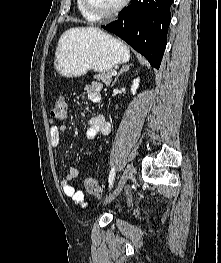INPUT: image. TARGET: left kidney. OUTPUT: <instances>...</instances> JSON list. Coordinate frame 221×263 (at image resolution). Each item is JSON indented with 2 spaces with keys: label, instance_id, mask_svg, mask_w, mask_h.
Returning <instances> with one entry per match:
<instances>
[{
  "label": "left kidney",
  "instance_id": "left-kidney-1",
  "mask_svg": "<svg viewBox=\"0 0 221 263\" xmlns=\"http://www.w3.org/2000/svg\"><path fill=\"white\" fill-rule=\"evenodd\" d=\"M139 82H140L139 78H136V79L133 80V83H132V86H131V93L133 95L136 94V91H137V89L139 87Z\"/></svg>",
  "mask_w": 221,
  "mask_h": 263
}]
</instances>
